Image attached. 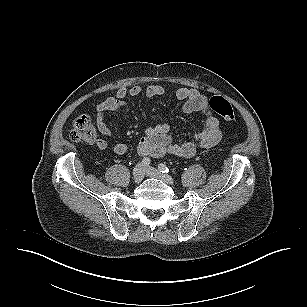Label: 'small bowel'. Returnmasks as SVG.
I'll list each match as a JSON object with an SVG mask.
<instances>
[{"label": "small bowel", "instance_id": "1", "mask_svg": "<svg viewBox=\"0 0 307 307\" xmlns=\"http://www.w3.org/2000/svg\"><path fill=\"white\" fill-rule=\"evenodd\" d=\"M145 93L147 97H160L165 93L163 87L159 85H151L145 90L134 85L130 88L120 87L115 96L106 98L103 102L97 105V127L99 132L104 136H111L112 131L106 122V116L110 112L122 111L126 116L128 108L125 99L128 96L136 97ZM177 100L183 102V111L185 113H201L204 115V127L202 130L193 135L192 140L183 143H174L169 134V129L166 123L159 122L147 128L144 137L140 140L137 146V152L142 157H161L167 153L183 157H192L198 149H207L217 145L222 133L220 123L217 117L212 113L208 100L205 95L196 89L179 88L175 92ZM96 146L104 150L108 147L105 139H97ZM128 150L125 142H117L114 145V152L124 154Z\"/></svg>", "mask_w": 307, "mask_h": 307}]
</instances>
